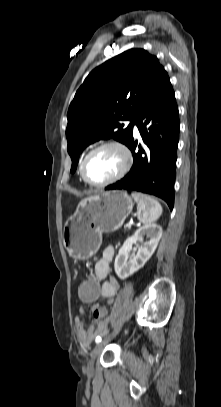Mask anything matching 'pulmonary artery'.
<instances>
[{
	"label": "pulmonary artery",
	"instance_id": "e3ab8cb5",
	"mask_svg": "<svg viewBox=\"0 0 221 407\" xmlns=\"http://www.w3.org/2000/svg\"><path fill=\"white\" fill-rule=\"evenodd\" d=\"M134 130H135V132H138V128L136 125H134Z\"/></svg>",
	"mask_w": 221,
	"mask_h": 407
}]
</instances>
